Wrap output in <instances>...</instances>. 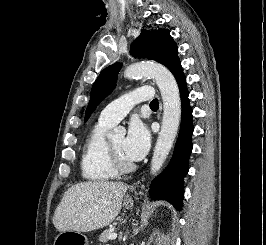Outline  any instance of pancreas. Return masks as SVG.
I'll use <instances>...</instances> for the list:
<instances>
[{
  "label": "pancreas",
  "instance_id": "pancreas-1",
  "mask_svg": "<svg viewBox=\"0 0 266 245\" xmlns=\"http://www.w3.org/2000/svg\"><path fill=\"white\" fill-rule=\"evenodd\" d=\"M112 233H114L113 229H106V231L101 233L98 241H100V243H107V241H109L108 237L109 235H112Z\"/></svg>",
  "mask_w": 266,
  "mask_h": 245
}]
</instances>
